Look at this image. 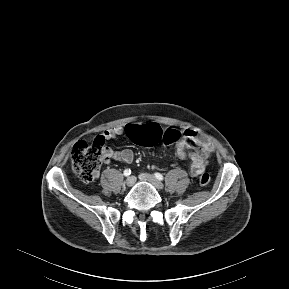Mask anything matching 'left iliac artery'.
Returning <instances> with one entry per match:
<instances>
[{"mask_svg":"<svg viewBox=\"0 0 289 289\" xmlns=\"http://www.w3.org/2000/svg\"><path fill=\"white\" fill-rule=\"evenodd\" d=\"M154 175H155L156 179H158V180H160V181L163 180L162 174H160V173H155Z\"/></svg>","mask_w":289,"mask_h":289,"instance_id":"1","label":"left iliac artery"}]
</instances>
